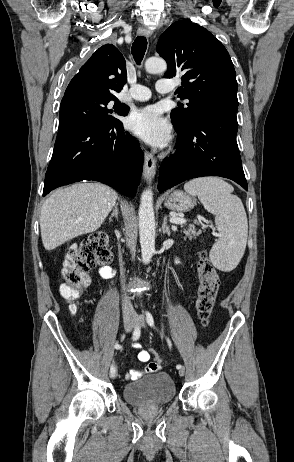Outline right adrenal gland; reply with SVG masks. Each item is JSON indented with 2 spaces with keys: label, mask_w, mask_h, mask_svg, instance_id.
<instances>
[{
  "label": "right adrenal gland",
  "mask_w": 294,
  "mask_h": 462,
  "mask_svg": "<svg viewBox=\"0 0 294 462\" xmlns=\"http://www.w3.org/2000/svg\"><path fill=\"white\" fill-rule=\"evenodd\" d=\"M118 214H119L118 203H116V204L114 205L113 212L111 213V215H110V217H109L110 222L112 221L113 218H117V219H118Z\"/></svg>",
  "instance_id": "obj_1"
}]
</instances>
